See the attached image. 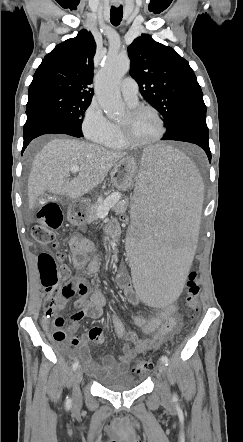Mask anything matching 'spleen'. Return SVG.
<instances>
[{"label": "spleen", "instance_id": "spleen-1", "mask_svg": "<svg viewBox=\"0 0 243 442\" xmlns=\"http://www.w3.org/2000/svg\"><path fill=\"white\" fill-rule=\"evenodd\" d=\"M130 211L132 239H126L134 296L147 307H170L194 257L204 178L186 155L170 146L141 147ZM159 192V193H139Z\"/></svg>", "mask_w": 243, "mask_h": 442}]
</instances>
